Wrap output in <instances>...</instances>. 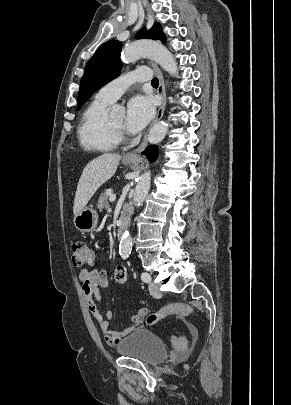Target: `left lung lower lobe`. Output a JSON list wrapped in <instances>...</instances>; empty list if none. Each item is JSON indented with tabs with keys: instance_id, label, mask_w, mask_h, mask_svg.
Instances as JSON below:
<instances>
[{
	"instance_id": "1",
	"label": "left lung lower lobe",
	"mask_w": 291,
	"mask_h": 405,
	"mask_svg": "<svg viewBox=\"0 0 291 405\" xmlns=\"http://www.w3.org/2000/svg\"><path fill=\"white\" fill-rule=\"evenodd\" d=\"M143 154H145L147 156V158L153 162L154 160H156L157 156H158V149L156 145H151L149 147H147L145 149V151L143 152Z\"/></svg>"
}]
</instances>
